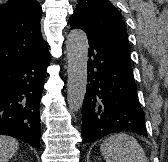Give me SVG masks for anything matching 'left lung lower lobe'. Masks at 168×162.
I'll return each instance as SVG.
<instances>
[{"label":"left lung lower lobe","mask_w":168,"mask_h":162,"mask_svg":"<svg viewBox=\"0 0 168 162\" xmlns=\"http://www.w3.org/2000/svg\"><path fill=\"white\" fill-rule=\"evenodd\" d=\"M87 34L88 85L82 106L81 134L94 142L110 133L131 131L147 136L144 111L129 56L97 37Z\"/></svg>","instance_id":"1"}]
</instances>
